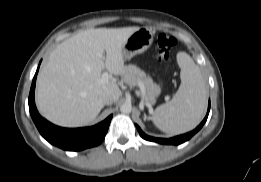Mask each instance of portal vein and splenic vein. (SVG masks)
Instances as JSON below:
<instances>
[{
  "mask_svg": "<svg viewBox=\"0 0 261 182\" xmlns=\"http://www.w3.org/2000/svg\"><path fill=\"white\" fill-rule=\"evenodd\" d=\"M109 79H110V75L108 74V72H104L101 76V79H100V82L101 83H108L109 82ZM142 91L144 93V89L142 88ZM136 94L137 95H140V92L139 91H136ZM148 107H151V105L148 103L147 104Z\"/></svg>",
  "mask_w": 261,
  "mask_h": 182,
  "instance_id": "portal-vein-and-splenic-vein-1",
  "label": "portal vein and splenic vein"
}]
</instances>
